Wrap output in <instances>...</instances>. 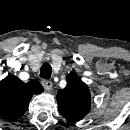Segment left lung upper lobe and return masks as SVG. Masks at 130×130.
I'll use <instances>...</instances> for the list:
<instances>
[{"instance_id": "5c2ea615", "label": "left lung upper lobe", "mask_w": 130, "mask_h": 130, "mask_svg": "<svg viewBox=\"0 0 130 130\" xmlns=\"http://www.w3.org/2000/svg\"><path fill=\"white\" fill-rule=\"evenodd\" d=\"M67 85L57 93L59 112L72 122L83 119L91 109V93L88 86L75 74L66 77Z\"/></svg>"}]
</instances>
